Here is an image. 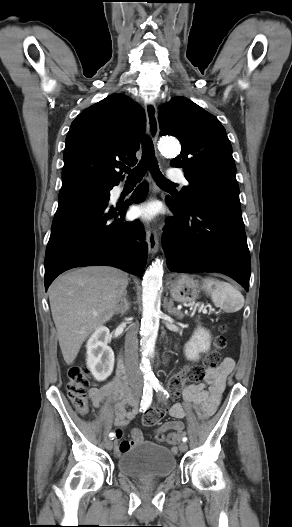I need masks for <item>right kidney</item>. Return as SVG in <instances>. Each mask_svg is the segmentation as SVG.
<instances>
[{
  "label": "right kidney",
  "instance_id": "obj_1",
  "mask_svg": "<svg viewBox=\"0 0 292 527\" xmlns=\"http://www.w3.org/2000/svg\"><path fill=\"white\" fill-rule=\"evenodd\" d=\"M110 331L98 327L87 341V367L97 381H104L114 368V352L108 346Z\"/></svg>",
  "mask_w": 292,
  "mask_h": 527
}]
</instances>
